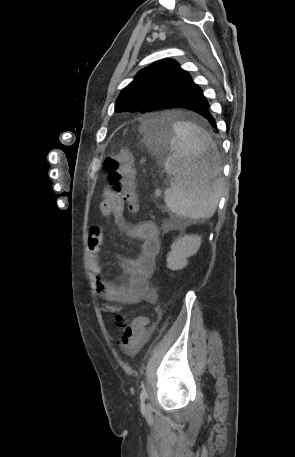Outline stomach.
<instances>
[{"label":"stomach","mask_w":295,"mask_h":457,"mask_svg":"<svg viewBox=\"0 0 295 457\" xmlns=\"http://www.w3.org/2000/svg\"><path fill=\"white\" fill-rule=\"evenodd\" d=\"M144 138L149 144H161L165 152H171L170 142L175 137L174 123L149 121L143 127Z\"/></svg>","instance_id":"1"}]
</instances>
